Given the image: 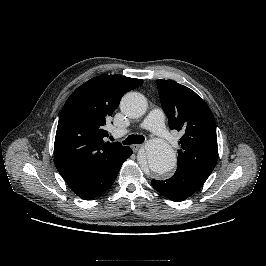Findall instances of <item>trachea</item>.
Returning a JSON list of instances; mask_svg holds the SVG:
<instances>
[{"label": "trachea", "instance_id": "trachea-1", "mask_svg": "<svg viewBox=\"0 0 266 266\" xmlns=\"http://www.w3.org/2000/svg\"><path fill=\"white\" fill-rule=\"evenodd\" d=\"M145 140V138L143 137V135H129L124 141L123 144L124 145H130V144H140L143 143Z\"/></svg>", "mask_w": 266, "mask_h": 266}]
</instances>
